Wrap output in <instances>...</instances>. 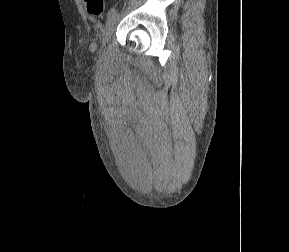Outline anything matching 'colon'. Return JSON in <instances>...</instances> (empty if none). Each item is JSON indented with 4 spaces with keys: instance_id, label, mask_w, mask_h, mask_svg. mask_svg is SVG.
I'll use <instances>...</instances> for the list:
<instances>
[{
    "instance_id": "5ec220e1",
    "label": "colon",
    "mask_w": 289,
    "mask_h": 252,
    "mask_svg": "<svg viewBox=\"0 0 289 252\" xmlns=\"http://www.w3.org/2000/svg\"><path fill=\"white\" fill-rule=\"evenodd\" d=\"M89 14L99 16L104 11V0H84Z\"/></svg>"
}]
</instances>
